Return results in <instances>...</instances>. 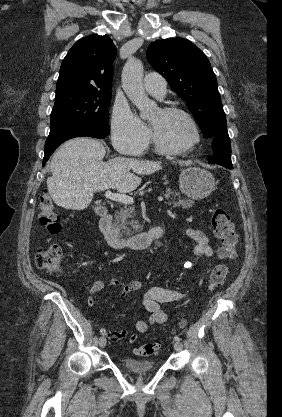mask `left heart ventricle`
Wrapping results in <instances>:
<instances>
[{
    "label": "left heart ventricle",
    "instance_id": "1",
    "mask_svg": "<svg viewBox=\"0 0 282 417\" xmlns=\"http://www.w3.org/2000/svg\"><path fill=\"white\" fill-rule=\"evenodd\" d=\"M149 122L162 141L168 145H184L191 139L188 124L178 115H167L158 109L151 113Z\"/></svg>",
    "mask_w": 282,
    "mask_h": 417
}]
</instances>
